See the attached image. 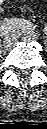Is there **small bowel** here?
I'll list each match as a JSON object with an SVG mask.
<instances>
[{
  "label": "small bowel",
  "mask_w": 47,
  "mask_h": 129,
  "mask_svg": "<svg viewBox=\"0 0 47 129\" xmlns=\"http://www.w3.org/2000/svg\"><path fill=\"white\" fill-rule=\"evenodd\" d=\"M7 1H9V0H0V4L3 5ZM1 8L3 9V6H1Z\"/></svg>",
  "instance_id": "c3829d8e"
}]
</instances>
